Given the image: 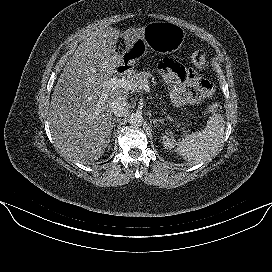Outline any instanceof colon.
<instances>
[{
  "label": "colon",
  "mask_w": 272,
  "mask_h": 272,
  "mask_svg": "<svg viewBox=\"0 0 272 272\" xmlns=\"http://www.w3.org/2000/svg\"><path fill=\"white\" fill-rule=\"evenodd\" d=\"M191 60L194 63V65L196 67H198L199 69H204L205 67V56L204 53L201 51H196L192 54L191 56ZM221 109L220 105L218 104H212L210 105L203 113H201V115H206V114H212V113H217L219 112ZM195 117L194 115H191L189 117H185V116H181V119H191Z\"/></svg>",
  "instance_id": "colon-1"
}]
</instances>
